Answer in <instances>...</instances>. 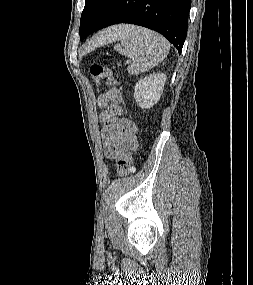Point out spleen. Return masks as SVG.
<instances>
[{"instance_id":"obj_1","label":"spleen","mask_w":253,"mask_h":285,"mask_svg":"<svg viewBox=\"0 0 253 285\" xmlns=\"http://www.w3.org/2000/svg\"><path fill=\"white\" fill-rule=\"evenodd\" d=\"M115 40L121 41V45L115 46V49L132 59L128 67L131 75H138L158 65L170 50V43L163 36L138 26H129Z\"/></svg>"}]
</instances>
